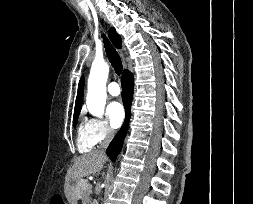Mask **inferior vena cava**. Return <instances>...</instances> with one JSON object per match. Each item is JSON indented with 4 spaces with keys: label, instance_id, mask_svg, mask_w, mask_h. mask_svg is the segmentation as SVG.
<instances>
[{
    "label": "inferior vena cava",
    "instance_id": "602c4592",
    "mask_svg": "<svg viewBox=\"0 0 253 204\" xmlns=\"http://www.w3.org/2000/svg\"><path fill=\"white\" fill-rule=\"evenodd\" d=\"M114 137V131L110 128L107 129L106 131V137L103 141V143L101 144V152L105 153V149L108 147L109 143L111 142V140Z\"/></svg>",
    "mask_w": 253,
    "mask_h": 204
}]
</instances>
